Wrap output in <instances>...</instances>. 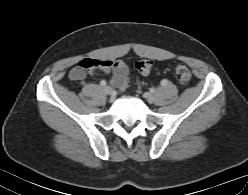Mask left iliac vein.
<instances>
[{"label": "left iliac vein", "instance_id": "left-iliac-vein-1", "mask_svg": "<svg viewBox=\"0 0 248 195\" xmlns=\"http://www.w3.org/2000/svg\"><path fill=\"white\" fill-rule=\"evenodd\" d=\"M144 97L149 103H153L155 101V96L153 93L147 92L144 94Z\"/></svg>", "mask_w": 248, "mask_h": 195}]
</instances>
